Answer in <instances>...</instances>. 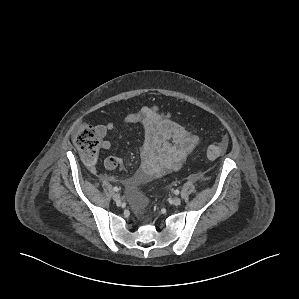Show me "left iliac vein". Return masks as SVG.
<instances>
[{
  "mask_svg": "<svg viewBox=\"0 0 299 299\" xmlns=\"http://www.w3.org/2000/svg\"><path fill=\"white\" fill-rule=\"evenodd\" d=\"M173 205L178 206L181 204V199L179 197H175L172 200Z\"/></svg>",
  "mask_w": 299,
  "mask_h": 299,
  "instance_id": "1",
  "label": "left iliac vein"
}]
</instances>
